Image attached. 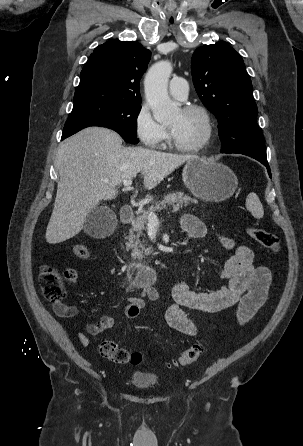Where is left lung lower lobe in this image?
<instances>
[{"label":"left lung lower lobe","instance_id":"left-lung-lower-lobe-1","mask_svg":"<svg viewBox=\"0 0 303 446\" xmlns=\"http://www.w3.org/2000/svg\"><path fill=\"white\" fill-rule=\"evenodd\" d=\"M248 156H250V157H252V158H255L256 160H258L259 162H261L264 166H266V168H267V170H268V174H269V176L271 177L270 168H269V165H268V162H267V158H261V157L254 156V155H248Z\"/></svg>","mask_w":303,"mask_h":446}]
</instances>
